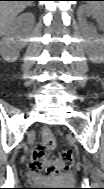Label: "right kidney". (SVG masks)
Masks as SVG:
<instances>
[{
	"label": "right kidney",
	"mask_w": 104,
	"mask_h": 189,
	"mask_svg": "<svg viewBox=\"0 0 104 189\" xmlns=\"http://www.w3.org/2000/svg\"><path fill=\"white\" fill-rule=\"evenodd\" d=\"M33 23L32 13H24L13 21L0 41V54L5 61L14 62L18 59L20 50L27 42L23 35L24 28L32 26Z\"/></svg>",
	"instance_id": "1"
}]
</instances>
